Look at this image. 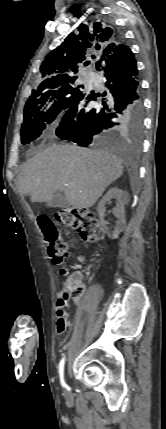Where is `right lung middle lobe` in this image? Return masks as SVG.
<instances>
[{"label":"right lung middle lobe","mask_w":166,"mask_h":429,"mask_svg":"<svg viewBox=\"0 0 166 429\" xmlns=\"http://www.w3.org/2000/svg\"><path fill=\"white\" fill-rule=\"evenodd\" d=\"M76 76L67 78L45 89H36L27 100L21 127L22 144L38 138L46 125L64 113L82 93L83 85H74Z\"/></svg>","instance_id":"obj_1"}]
</instances>
